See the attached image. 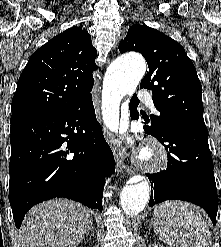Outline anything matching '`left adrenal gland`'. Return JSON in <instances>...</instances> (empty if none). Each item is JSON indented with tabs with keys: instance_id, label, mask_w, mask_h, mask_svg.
<instances>
[{
	"instance_id": "left-adrenal-gland-1",
	"label": "left adrenal gland",
	"mask_w": 221,
	"mask_h": 247,
	"mask_svg": "<svg viewBox=\"0 0 221 247\" xmlns=\"http://www.w3.org/2000/svg\"><path fill=\"white\" fill-rule=\"evenodd\" d=\"M152 224H153V220L151 219L150 225H152Z\"/></svg>"
}]
</instances>
